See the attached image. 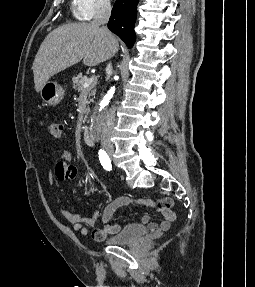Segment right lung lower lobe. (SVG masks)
Returning <instances> with one entry per match:
<instances>
[{"label":"right lung lower lobe","instance_id":"98d812e1","mask_svg":"<svg viewBox=\"0 0 255 287\" xmlns=\"http://www.w3.org/2000/svg\"><path fill=\"white\" fill-rule=\"evenodd\" d=\"M138 2L139 0H116L108 22V28L118 35L128 48H132L136 40L134 24Z\"/></svg>","mask_w":255,"mask_h":287}]
</instances>
